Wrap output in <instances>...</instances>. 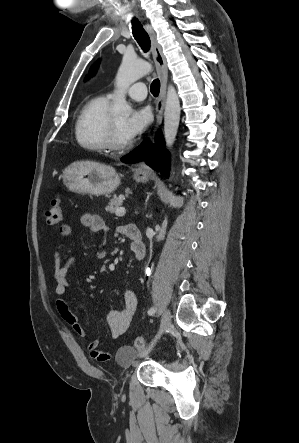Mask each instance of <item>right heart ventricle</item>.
<instances>
[{"label": "right heart ventricle", "instance_id": "e07e8e85", "mask_svg": "<svg viewBox=\"0 0 299 443\" xmlns=\"http://www.w3.org/2000/svg\"><path fill=\"white\" fill-rule=\"evenodd\" d=\"M109 97L90 99L81 109L75 123V138L80 147L91 152H106L110 121Z\"/></svg>", "mask_w": 299, "mask_h": 443}]
</instances>
